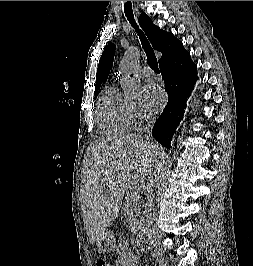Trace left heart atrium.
<instances>
[{"label": "left heart atrium", "mask_w": 253, "mask_h": 266, "mask_svg": "<svg viewBox=\"0 0 253 266\" xmlns=\"http://www.w3.org/2000/svg\"><path fill=\"white\" fill-rule=\"evenodd\" d=\"M144 96L148 107L152 111H159L166 102V94L156 84H148L144 87Z\"/></svg>", "instance_id": "obj_1"}]
</instances>
